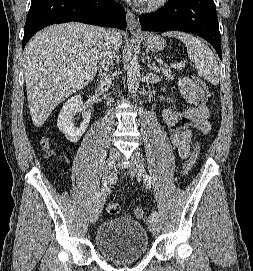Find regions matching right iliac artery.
Masks as SVG:
<instances>
[{"mask_svg": "<svg viewBox=\"0 0 253 271\" xmlns=\"http://www.w3.org/2000/svg\"><path fill=\"white\" fill-rule=\"evenodd\" d=\"M102 191H103V189L101 190V192L99 191V192L96 194L95 202H97V201L99 200V198L101 197Z\"/></svg>", "mask_w": 253, "mask_h": 271, "instance_id": "82829eb1", "label": "right iliac artery"}]
</instances>
